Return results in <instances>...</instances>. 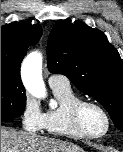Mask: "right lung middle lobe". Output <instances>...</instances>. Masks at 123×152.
<instances>
[{"mask_svg":"<svg viewBox=\"0 0 123 152\" xmlns=\"http://www.w3.org/2000/svg\"><path fill=\"white\" fill-rule=\"evenodd\" d=\"M25 105L26 95L21 80L1 73V122L19 117Z\"/></svg>","mask_w":123,"mask_h":152,"instance_id":"1","label":"right lung middle lobe"}]
</instances>
